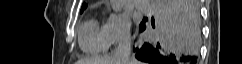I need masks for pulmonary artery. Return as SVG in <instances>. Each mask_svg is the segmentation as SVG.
Returning <instances> with one entry per match:
<instances>
[{
	"instance_id": "pulmonary-artery-1",
	"label": "pulmonary artery",
	"mask_w": 242,
	"mask_h": 64,
	"mask_svg": "<svg viewBox=\"0 0 242 64\" xmlns=\"http://www.w3.org/2000/svg\"><path fill=\"white\" fill-rule=\"evenodd\" d=\"M136 7L142 11V12H146L149 10V2L147 0H138L136 2Z\"/></svg>"
}]
</instances>
